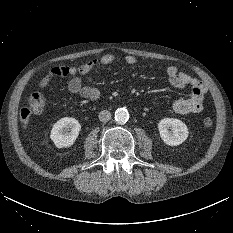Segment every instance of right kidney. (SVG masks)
<instances>
[{
	"instance_id": "1",
	"label": "right kidney",
	"mask_w": 233,
	"mask_h": 233,
	"mask_svg": "<svg viewBox=\"0 0 233 233\" xmlns=\"http://www.w3.org/2000/svg\"><path fill=\"white\" fill-rule=\"evenodd\" d=\"M80 130L81 125L78 120L64 117L53 125L50 138L58 148L70 147L76 141Z\"/></svg>"
}]
</instances>
